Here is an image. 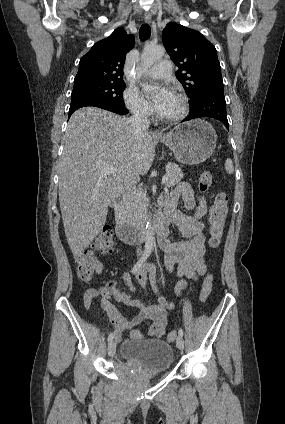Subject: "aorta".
Listing matches in <instances>:
<instances>
[{
  "label": "aorta",
  "mask_w": 285,
  "mask_h": 424,
  "mask_svg": "<svg viewBox=\"0 0 285 424\" xmlns=\"http://www.w3.org/2000/svg\"><path fill=\"white\" fill-rule=\"evenodd\" d=\"M165 54V48L163 46L145 47L141 54V71L146 73L148 69L158 60H160ZM151 86L146 84V88ZM154 244L153 229L151 223H147L146 227V247L152 248Z\"/></svg>",
  "instance_id": "aorta-1"
}]
</instances>
